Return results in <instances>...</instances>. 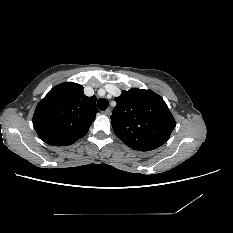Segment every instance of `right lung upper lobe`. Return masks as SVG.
I'll return each mask as SVG.
<instances>
[{"instance_id": "obj_1", "label": "right lung upper lobe", "mask_w": 233, "mask_h": 233, "mask_svg": "<svg viewBox=\"0 0 233 233\" xmlns=\"http://www.w3.org/2000/svg\"><path fill=\"white\" fill-rule=\"evenodd\" d=\"M97 112L96 97L85 96L82 85L62 83L37 105L33 125L45 143L67 146L88 132Z\"/></svg>"}]
</instances>
